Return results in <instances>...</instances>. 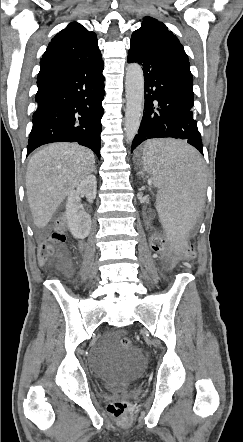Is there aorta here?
<instances>
[{"mask_svg":"<svg viewBox=\"0 0 243 442\" xmlns=\"http://www.w3.org/2000/svg\"><path fill=\"white\" fill-rule=\"evenodd\" d=\"M125 84L127 103L124 130L126 140L132 142L140 127L144 105V76L140 65H128Z\"/></svg>","mask_w":243,"mask_h":442,"instance_id":"1","label":"aorta"}]
</instances>
